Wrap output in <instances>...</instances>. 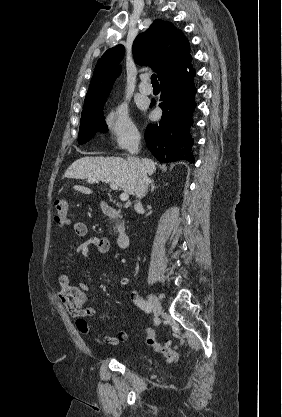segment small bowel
Instances as JSON below:
<instances>
[{
    "label": "small bowel",
    "instance_id": "1",
    "mask_svg": "<svg viewBox=\"0 0 282 417\" xmlns=\"http://www.w3.org/2000/svg\"><path fill=\"white\" fill-rule=\"evenodd\" d=\"M74 233L83 237L84 240L76 249V254L83 256L87 260H92L93 256L90 250L94 248L98 255H106L110 251V241L106 237L88 235V226L82 221H76L72 225ZM121 286L129 288L130 279L125 277L121 279ZM87 285L81 282L78 286H72L67 275L63 274L59 277V290L57 292L58 299L65 307L70 316L76 319L75 325L77 330L82 334H90V326L86 318L94 317L97 311L92 306H87ZM138 295L135 291L130 292L132 303L137 301ZM127 331H120L117 336L105 335L103 340L106 344L116 346L128 339Z\"/></svg>",
    "mask_w": 282,
    "mask_h": 417
}]
</instances>
